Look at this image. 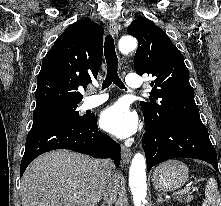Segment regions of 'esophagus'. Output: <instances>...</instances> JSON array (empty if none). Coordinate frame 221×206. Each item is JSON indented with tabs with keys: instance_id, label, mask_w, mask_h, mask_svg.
<instances>
[{
	"instance_id": "esophagus-1",
	"label": "esophagus",
	"mask_w": 221,
	"mask_h": 206,
	"mask_svg": "<svg viewBox=\"0 0 221 206\" xmlns=\"http://www.w3.org/2000/svg\"><path fill=\"white\" fill-rule=\"evenodd\" d=\"M118 24L115 21H110L109 23V31L113 36L118 35ZM132 157V152L129 148L121 146V159L123 164H128Z\"/></svg>"
}]
</instances>
